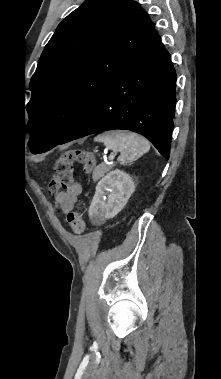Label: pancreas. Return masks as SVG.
<instances>
[{"label": "pancreas", "mask_w": 221, "mask_h": 379, "mask_svg": "<svg viewBox=\"0 0 221 379\" xmlns=\"http://www.w3.org/2000/svg\"><path fill=\"white\" fill-rule=\"evenodd\" d=\"M113 167H114V164H107V163H102L98 165L92 173V180L94 182L97 181L102 176H104L105 173L110 171Z\"/></svg>", "instance_id": "obj_1"}]
</instances>
